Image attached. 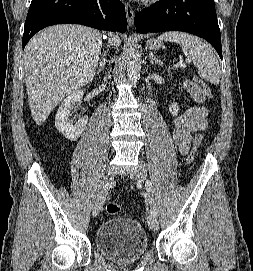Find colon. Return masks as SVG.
Here are the masks:
<instances>
[{
  "instance_id": "5ec220e1",
  "label": "colon",
  "mask_w": 253,
  "mask_h": 271,
  "mask_svg": "<svg viewBox=\"0 0 253 271\" xmlns=\"http://www.w3.org/2000/svg\"><path fill=\"white\" fill-rule=\"evenodd\" d=\"M196 85L205 99L207 100L212 99L211 91L208 85L204 81L196 80ZM202 140H203V134L197 135L195 139L193 140L191 150H190L188 160H187L188 163L194 162V160L198 156ZM106 211L109 215H118L121 212V206L116 203H109L106 206Z\"/></svg>"
}]
</instances>
